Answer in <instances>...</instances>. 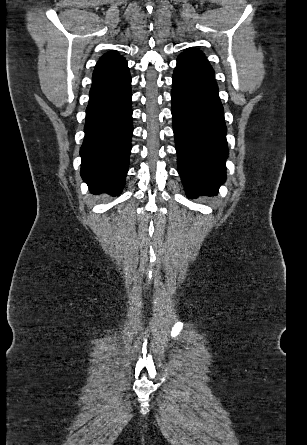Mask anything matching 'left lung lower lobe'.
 Listing matches in <instances>:
<instances>
[{
  "instance_id": "0a47b994",
  "label": "left lung lower lobe",
  "mask_w": 307,
  "mask_h": 445,
  "mask_svg": "<svg viewBox=\"0 0 307 445\" xmlns=\"http://www.w3.org/2000/svg\"><path fill=\"white\" fill-rule=\"evenodd\" d=\"M172 80L178 172L187 197L214 196L225 182L228 154L224 111L214 72L198 60L179 55Z\"/></svg>"
}]
</instances>
